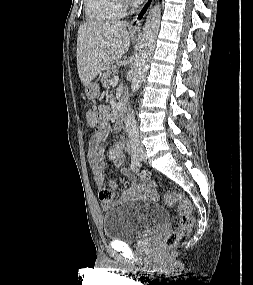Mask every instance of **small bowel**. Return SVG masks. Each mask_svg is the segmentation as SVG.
<instances>
[{"instance_id": "small-bowel-1", "label": "small bowel", "mask_w": 253, "mask_h": 285, "mask_svg": "<svg viewBox=\"0 0 253 285\" xmlns=\"http://www.w3.org/2000/svg\"><path fill=\"white\" fill-rule=\"evenodd\" d=\"M101 118V125L96 127L92 134L88 148V160L92 169L94 180L99 189H103L105 185L104 168V152L107 146L108 133V109L101 107L98 112ZM120 172L128 178L129 186L122 192L121 201L127 200H144L148 202H157L160 198V193L155 183L147 176H134L127 168L121 167ZM112 187H116L111 183ZM111 199L102 202L103 209L109 208Z\"/></svg>"}]
</instances>
